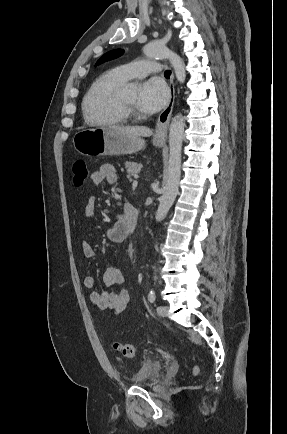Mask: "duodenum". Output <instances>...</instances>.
Masks as SVG:
<instances>
[{"instance_id": "duodenum-1", "label": "duodenum", "mask_w": 287, "mask_h": 434, "mask_svg": "<svg viewBox=\"0 0 287 434\" xmlns=\"http://www.w3.org/2000/svg\"><path fill=\"white\" fill-rule=\"evenodd\" d=\"M127 225L129 233L133 232L138 224V211L131 204L127 205L126 209Z\"/></svg>"}]
</instances>
